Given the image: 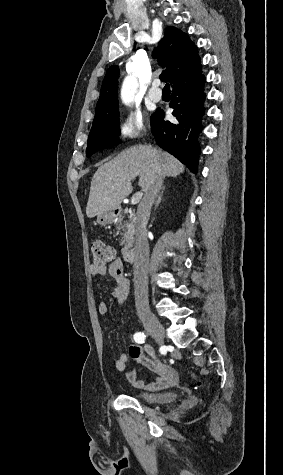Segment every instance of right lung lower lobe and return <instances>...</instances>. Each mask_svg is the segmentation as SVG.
Segmentation results:
<instances>
[{"label":"right lung lower lobe","mask_w":283,"mask_h":475,"mask_svg":"<svg viewBox=\"0 0 283 475\" xmlns=\"http://www.w3.org/2000/svg\"><path fill=\"white\" fill-rule=\"evenodd\" d=\"M205 76L201 68L184 75L172 84L169 106L176 121L164 120V111L157 110L151 117V131L157 144L168 151L193 173L197 172L200 146L197 136L202 131L201 118L205 108L203 103Z\"/></svg>","instance_id":"right-lung-lower-lobe-1"}]
</instances>
